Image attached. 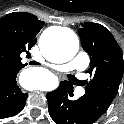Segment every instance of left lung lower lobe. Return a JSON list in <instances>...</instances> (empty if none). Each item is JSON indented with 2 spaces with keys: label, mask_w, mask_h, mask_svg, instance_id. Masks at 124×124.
<instances>
[{
  "label": "left lung lower lobe",
  "mask_w": 124,
  "mask_h": 124,
  "mask_svg": "<svg viewBox=\"0 0 124 124\" xmlns=\"http://www.w3.org/2000/svg\"><path fill=\"white\" fill-rule=\"evenodd\" d=\"M73 86L62 81L60 86L47 94L49 114L56 124H92L95 120L89 114L80 97L72 100Z\"/></svg>",
  "instance_id": "0a47b994"
}]
</instances>
